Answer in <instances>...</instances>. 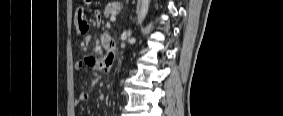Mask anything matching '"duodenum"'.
Segmentation results:
<instances>
[{"instance_id": "410a0bca", "label": "duodenum", "mask_w": 283, "mask_h": 116, "mask_svg": "<svg viewBox=\"0 0 283 116\" xmlns=\"http://www.w3.org/2000/svg\"><path fill=\"white\" fill-rule=\"evenodd\" d=\"M103 43H104V45L106 47H108L109 55L112 58L113 57V52L115 50L114 42H112L111 40L107 39V37L105 36V41Z\"/></svg>"}]
</instances>
